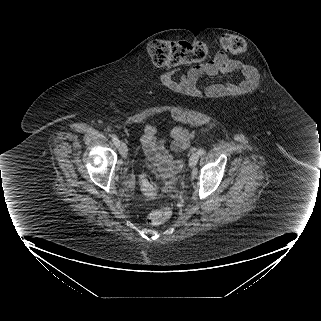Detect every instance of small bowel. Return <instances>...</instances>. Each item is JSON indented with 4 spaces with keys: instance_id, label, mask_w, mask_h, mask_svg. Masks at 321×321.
<instances>
[{
    "instance_id": "1",
    "label": "small bowel",
    "mask_w": 321,
    "mask_h": 321,
    "mask_svg": "<svg viewBox=\"0 0 321 321\" xmlns=\"http://www.w3.org/2000/svg\"><path fill=\"white\" fill-rule=\"evenodd\" d=\"M237 68H239L237 61L223 51H219L208 63L195 65L185 73L167 72L164 80L170 88L186 91L188 95H194L196 99H204L206 96L222 98L255 90L261 82V77L249 65L242 67L245 77L233 79L230 85L225 82L206 83L202 88L197 85V81L202 76L215 75ZM158 136L157 127L152 123H147L140 135V142L145 155L155 162L163 175L169 176L182 168L181 159L177 155L189 146L190 134L183 127L173 128L168 135L170 146H167L165 140L158 139Z\"/></svg>"
}]
</instances>
